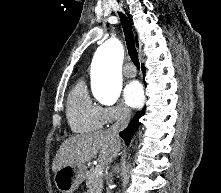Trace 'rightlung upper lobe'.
<instances>
[{
  "mask_svg": "<svg viewBox=\"0 0 221 193\" xmlns=\"http://www.w3.org/2000/svg\"><path fill=\"white\" fill-rule=\"evenodd\" d=\"M136 44H137V46H138V43H137V37H136Z\"/></svg>",
  "mask_w": 221,
  "mask_h": 193,
  "instance_id": "1",
  "label": "right lung upper lobe"
}]
</instances>
